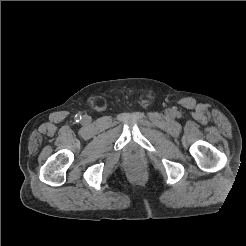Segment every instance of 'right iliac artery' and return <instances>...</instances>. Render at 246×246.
I'll list each match as a JSON object with an SVG mask.
<instances>
[{"instance_id": "obj_1", "label": "right iliac artery", "mask_w": 246, "mask_h": 246, "mask_svg": "<svg viewBox=\"0 0 246 246\" xmlns=\"http://www.w3.org/2000/svg\"><path fill=\"white\" fill-rule=\"evenodd\" d=\"M81 119H82V117H81L80 114H77V115L75 116V121H76V122H79Z\"/></svg>"}]
</instances>
